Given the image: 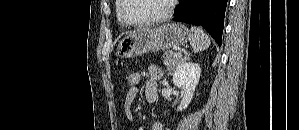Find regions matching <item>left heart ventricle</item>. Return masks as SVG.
Returning <instances> with one entry per match:
<instances>
[{"mask_svg":"<svg viewBox=\"0 0 299 130\" xmlns=\"http://www.w3.org/2000/svg\"><path fill=\"white\" fill-rule=\"evenodd\" d=\"M168 3V0H128L125 13L132 21H145L166 12Z\"/></svg>","mask_w":299,"mask_h":130,"instance_id":"obj_1","label":"left heart ventricle"}]
</instances>
